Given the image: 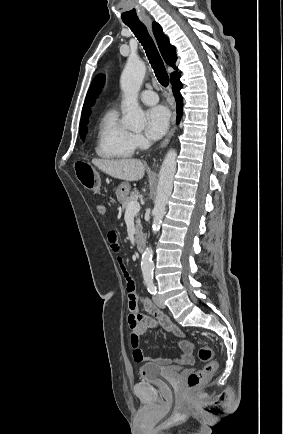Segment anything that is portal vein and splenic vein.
Returning <instances> with one entry per match:
<instances>
[{
	"instance_id": "18ae733b",
	"label": "portal vein and splenic vein",
	"mask_w": 283,
	"mask_h": 434,
	"mask_svg": "<svg viewBox=\"0 0 283 434\" xmlns=\"http://www.w3.org/2000/svg\"><path fill=\"white\" fill-rule=\"evenodd\" d=\"M140 210V204L137 201H132L128 204L126 213H138Z\"/></svg>"
}]
</instances>
